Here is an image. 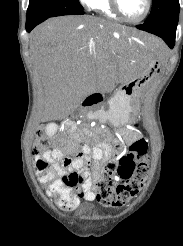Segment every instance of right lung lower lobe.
Returning <instances> with one entry per match:
<instances>
[{
	"instance_id": "obj_1",
	"label": "right lung lower lobe",
	"mask_w": 183,
	"mask_h": 246,
	"mask_svg": "<svg viewBox=\"0 0 183 246\" xmlns=\"http://www.w3.org/2000/svg\"><path fill=\"white\" fill-rule=\"evenodd\" d=\"M85 12L80 9H74V10H66V11H61L57 12L54 14H51L49 17H55V16H62V15H82ZM49 17H44V18H32V19H26V31L29 33L36 25L40 24L44 20H46Z\"/></svg>"
}]
</instances>
